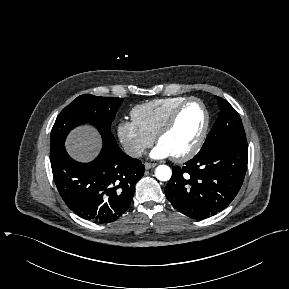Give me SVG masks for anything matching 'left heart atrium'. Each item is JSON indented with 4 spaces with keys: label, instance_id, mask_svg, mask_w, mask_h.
<instances>
[{
    "label": "left heart atrium",
    "instance_id": "left-heart-atrium-1",
    "mask_svg": "<svg viewBox=\"0 0 289 289\" xmlns=\"http://www.w3.org/2000/svg\"><path fill=\"white\" fill-rule=\"evenodd\" d=\"M151 157L155 159H162L171 156L169 151L165 149L162 145L158 144L152 151Z\"/></svg>",
    "mask_w": 289,
    "mask_h": 289
}]
</instances>
